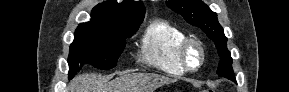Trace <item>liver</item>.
Wrapping results in <instances>:
<instances>
[{
	"label": "liver",
	"instance_id": "1",
	"mask_svg": "<svg viewBox=\"0 0 289 92\" xmlns=\"http://www.w3.org/2000/svg\"><path fill=\"white\" fill-rule=\"evenodd\" d=\"M175 82V79L153 74H125L114 80L99 75H84L75 78L69 85L71 92H154L160 86Z\"/></svg>",
	"mask_w": 289,
	"mask_h": 92
}]
</instances>
